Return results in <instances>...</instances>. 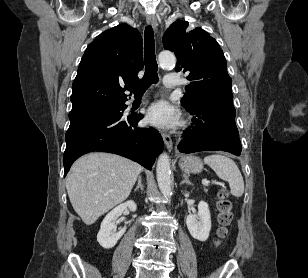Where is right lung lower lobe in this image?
Listing matches in <instances>:
<instances>
[{
  "mask_svg": "<svg viewBox=\"0 0 308 278\" xmlns=\"http://www.w3.org/2000/svg\"><path fill=\"white\" fill-rule=\"evenodd\" d=\"M119 112L87 113L70 118L63 156L64 176L72 163L81 155L92 151L115 153L151 169L155 158L163 150L161 135L154 128H138L142 115L123 117Z\"/></svg>",
  "mask_w": 308,
  "mask_h": 278,
  "instance_id": "obj_1",
  "label": "right lung lower lobe"
}]
</instances>
